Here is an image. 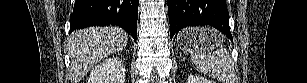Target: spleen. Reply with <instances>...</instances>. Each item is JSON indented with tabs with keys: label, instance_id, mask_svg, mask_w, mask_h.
Segmentation results:
<instances>
[{
	"label": "spleen",
	"instance_id": "3e777b00",
	"mask_svg": "<svg viewBox=\"0 0 307 83\" xmlns=\"http://www.w3.org/2000/svg\"><path fill=\"white\" fill-rule=\"evenodd\" d=\"M194 29L198 31L199 40L198 46L190 53L196 68L222 83H233L234 62L230 53L222 46L224 36L210 28Z\"/></svg>",
	"mask_w": 307,
	"mask_h": 83
}]
</instances>
